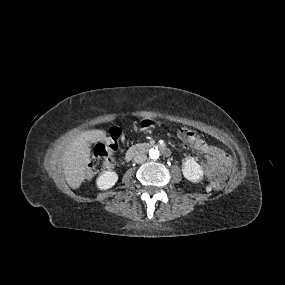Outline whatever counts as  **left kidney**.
<instances>
[{
  "label": "left kidney",
  "mask_w": 285,
  "mask_h": 285,
  "mask_svg": "<svg viewBox=\"0 0 285 285\" xmlns=\"http://www.w3.org/2000/svg\"><path fill=\"white\" fill-rule=\"evenodd\" d=\"M182 171L184 177L193 183H196L203 178L201 166L193 159H186L184 161Z\"/></svg>",
  "instance_id": "left-kidney-1"
}]
</instances>
